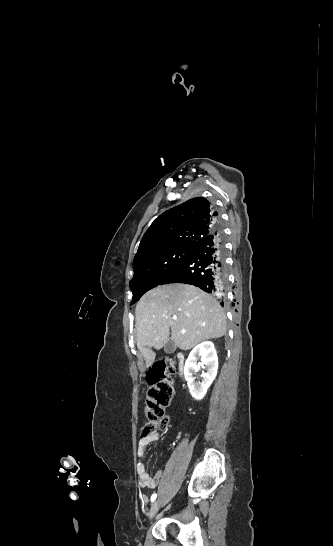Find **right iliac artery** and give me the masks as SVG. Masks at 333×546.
<instances>
[{"label": "right iliac artery", "instance_id": "82829eb1", "mask_svg": "<svg viewBox=\"0 0 333 546\" xmlns=\"http://www.w3.org/2000/svg\"><path fill=\"white\" fill-rule=\"evenodd\" d=\"M156 497H157V494H153V495L151 496V502H153V501L156 499Z\"/></svg>", "mask_w": 333, "mask_h": 546}]
</instances>
